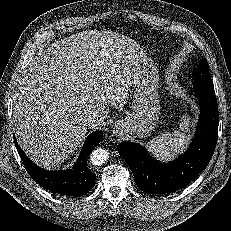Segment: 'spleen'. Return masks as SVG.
<instances>
[{"instance_id": "spleen-1", "label": "spleen", "mask_w": 231, "mask_h": 231, "mask_svg": "<svg viewBox=\"0 0 231 231\" xmlns=\"http://www.w3.org/2000/svg\"><path fill=\"white\" fill-rule=\"evenodd\" d=\"M190 126V118L183 116L180 123L181 131H175L172 134L162 133L156 136L147 143V150L159 160L173 158L187 146L190 137L186 132L190 131Z\"/></svg>"}]
</instances>
